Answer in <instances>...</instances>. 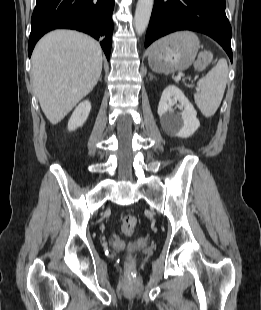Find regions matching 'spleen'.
Wrapping results in <instances>:
<instances>
[{
  "label": "spleen",
  "instance_id": "1",
  "mask_svg": "<svg viewBox=\"0 0 261 310\" xmlns=\"http://www.w3.org/2000/svg\"><path fill=\"white\" fill-rule=\"evenodd\" d=\"M227 79L228 64L226 59L222 58L197 82L198 91L194 93V100L205 117L210 118L216 113L225 92Z\"/></svg>",
  "mask_w": 261,
  "mask_h": 310
}]
</instances>
